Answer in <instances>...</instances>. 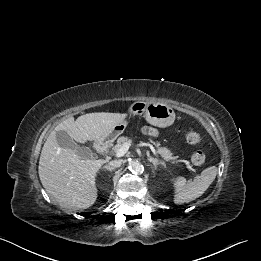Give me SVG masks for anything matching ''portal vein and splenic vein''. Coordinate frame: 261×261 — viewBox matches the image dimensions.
Wrapping results in <instances>:
<instances>
[{
	"label": "portal vein and splenic vein",
	"instance_id": "obj_1",
	"mask_svg": "<svg viewBox=\"0 0 261 261\" xmlns=\"http://www.w3.org/2000/svg\"><path fill=\"white\" fill-rule=\"evenodd\" d=\"M131 145V140L124 143L115 153L116 157H122L125 155V153L128 151L129 147ZM141 146H147L151 149V151L156 154V150L154 149L153 145L146 143V142H140Z\"/></svg>",
	"mask_w": 261,
	"mask_h": 261
}]
</instances>
